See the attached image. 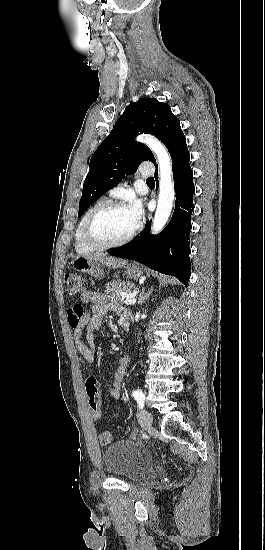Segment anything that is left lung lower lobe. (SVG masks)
<instances>
[{"label":"left lung lower lobe","mask_w":265,"mask_h":550,"mask_svg":"<svg viewBox=\"0 0 265 550\" xmlns=\"http://www.w3.org/2000/svg\"><path fill=\"white\" fill-rule=\"evenodd\" d=\"M175 181L176 205L172 219L158 235L151 236V222L144 231L122 247L110 250V255L143 263L163 274L172 275L187 285L191 275L189 233L193 205V172L189 164L186 141L171 155ZM158 180L157 170L154 174Z\"/></svg>","instance_id":"1"}]
</instances>
